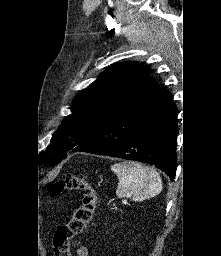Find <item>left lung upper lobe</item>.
<instances>
[{
  "instance_id": "obj_1",
  "label": "left lung upper lobe",
  "mask_w": 221,
  "mask_h": 256,
  "mask_svg": "<svg viewBox=\"0 0 221 256\" xmlns=\"http://www.w3.org/2000/svg\"><path fill=\"white\" fill-rule=\"evenodd\" d=\"M157 89L149 78L148 67L130 61L112 65L76 96L72 114L53 134L41 164L59 163L67 151H73L108 123L135 109Z\"/></svg>"
}]
</instances>
